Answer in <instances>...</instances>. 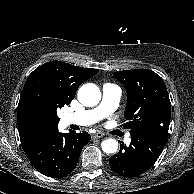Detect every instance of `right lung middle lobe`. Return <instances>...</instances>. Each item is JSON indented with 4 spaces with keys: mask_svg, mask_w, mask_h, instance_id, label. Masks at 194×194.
I'll list each match as a JSON object with an SVG mask.
<instances>
[{
    "mask_svg": "<svg viewBox=\"0 0 194 194\" xmlns=\"http://www.w3.org/2000/svg\"><path fill=\"white\" fill-rule=\"evenodd\" d=\"M64 105H65L64 103H56V104L54 105V110H55V112H56L57 108H61V107H63Z\"/></svg>",
    "mask_w": 194,
    "mask_h": 194,
    "instance_id": "1",
    "label": "right lung middle lobe"
}]
</instances>
